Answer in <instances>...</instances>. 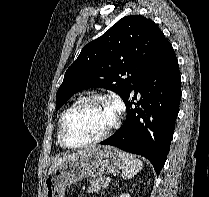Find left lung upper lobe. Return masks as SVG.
<instances>
[{"label": "left lung upper lobe", "mask_w": 209, "mask_h": 197, "mask_svg": "<svg viewBox=\"0 0 209 197\" xmlns=\"http://www.w3.org/2000/svg\"><path fill=\"white\" fill-rule=\"evenodd\" d=\"M166 40L152 20L141 15L121 18L84 46L68 68L56 93V109L76 92L95 87L113 90L124 101Z\"/></svg>", "instance_id": "left-lung-upper-lobe-1"}]
</instances>
